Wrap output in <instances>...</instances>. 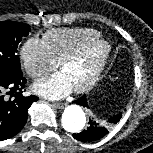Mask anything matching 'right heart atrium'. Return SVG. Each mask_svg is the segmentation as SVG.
I'll return each mask as SVG.
<instances>
[{"label":"right heart atrium","instance_id":"d8ad5b80","mask_svg":"<svg viewBox=\"0 0 153 153\" xmlns=\"http://www.w3.org/2000/svg\"><path fill=\"white\" fill-rule=\"evenodd\" d=\"M20 56L24 70L36 80L43 78L58 66L43 39L38 37H31L24 42Z\"/></svg>","mask_w":153,"mask_h":153}]
</instances>
